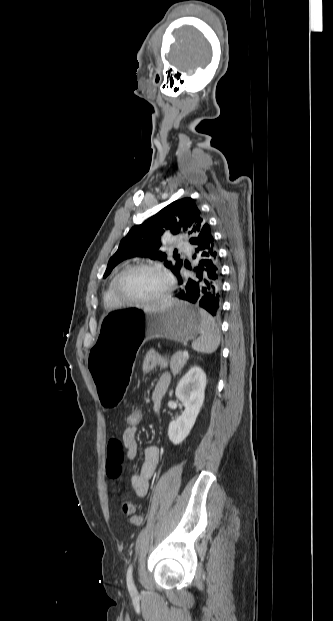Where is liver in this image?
<instances>
[{"label": "liver", "mask_w": 333, "mask_h": 621, "mask_svg": "<svg viewBox=\"0 0 333 621\" xmlns=\"http://www.w3.org/2000/svg\"><path fill=\"white\" fill-rule=\"evenodd\" d=\"M171 302L172 301H163V302H161V303H159L157 305H153V306H150V307H147V308H164V307L170 305ZM147 308H145V309H147Z\"/></svg>", "instance_id": "1"}]
</instances>
